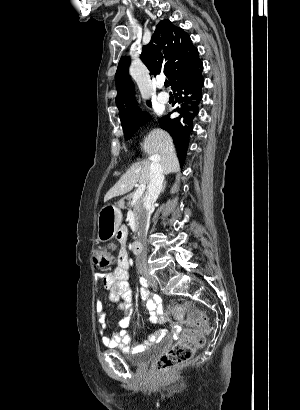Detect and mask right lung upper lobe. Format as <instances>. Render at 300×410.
<instances>
[{
	"mask_svg": "<svg viewBox=\"0 0 300 410\" xmlns=\"http://www.w3.org/2000/svg\"><path fill=\"white\" fill-rule=\"evenodd\" d=\"M198 58V50L193 46L189 35L169 20H162L158 23L150 43L143 47L141 53V60L151 74L156 76L164 73L170 79V85ZM129 64L130 59L123 56L115 74L116 105L119 109L121 123L132 119L140 111L133 97L134 86L128 74ZM147 104H150V101Z\"/></svg>",
	"mask_w": 300,
	"mask_h": 410,
	"instance_id": "cb5924a9",
	"label": "right lung upper lobe"
}]
</instances>
